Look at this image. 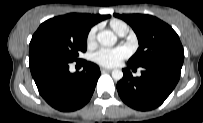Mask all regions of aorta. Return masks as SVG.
<instances>
[{
    "instance_id": "obj_1",
    "label": "aorta",
    "mask_w": 203,
    "mask_h": 123,
    "mask_svg": "<svg viewBox=\"0 0 203 123\" xmlns=\"http://www.w3.org/2000/svg\"><path fill=\"white\" fill-rule=\"evenodd\" d=\"M98 42L103 46H113L116 41L117 37L115 34L110 30H103L97 34ZM112 77L114 80L119 81L123 78V72L120 69H114L112 71Z\"/></svg>"
}]
</instances>
